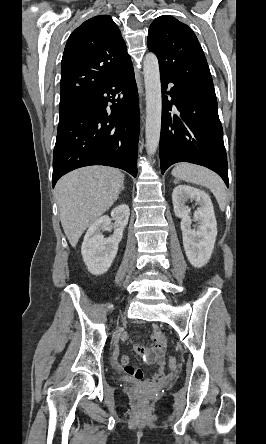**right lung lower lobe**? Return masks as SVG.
I'll return each mask as SVG.
<instances>
[{
  "label": "right lung lower lobe",
  "instance_id": "right-lung-lower-lobe-1",
  "mask_svg": "<svg viewBox=\"0 0 266 444\" xmlns=\"http://www.w3.org/2000/svg\"><path fill=\"white\" fill-rule=\"evenodd\" d=\"M108 102H112L110 111ZM139 128L138 92L130 61L60 116L53 187L62 175L89 165L117 167L136 177Z\"/></svg>",
  "mask_w": 266,
  "mask_h": 444
}]
</instances>
